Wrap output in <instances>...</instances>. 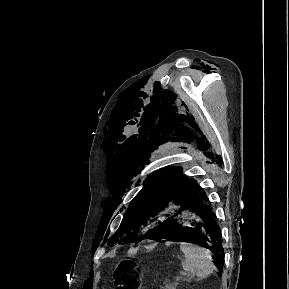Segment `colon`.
<instances>
[{"label":"colon","mask_w":289,"mask_h":289,"mask_svg":"<svg viewBox=\"0 0 289 289\" xmlns=\"http://www.w3.org/2000/svg\"><path fill=\"white\" fill-rule=\"evenodd\" d=\"M142 273L133 263L116 271L115 285L117 289H140Z\"/></svg>","instance_id":"1"}]
</instances>
